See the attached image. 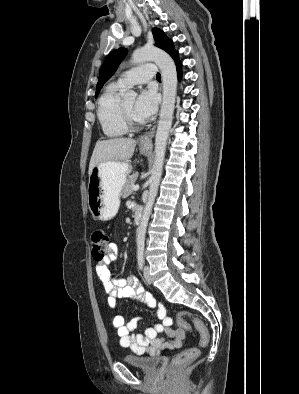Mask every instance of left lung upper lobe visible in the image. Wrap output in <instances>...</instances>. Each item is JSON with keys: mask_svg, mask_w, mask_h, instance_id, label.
<instances>
[{"mask_svg": "<svg viewBox=\"0 0 299 394\" xmlns=\"http://www.w3.org/2000/svg\"><path fill=\"white\" fill-rule=\"evenodd\" d=\"M153 37L155 39V45L164 51H166L170 56H172L176 50L173 46V42L169 39L165 33L158 29L153 28ZM127 54V50L125 48H119L117 50L112 51L107 58L105 59L104 63L101 66L100 73H99V80L96 86V94L95 97L99 94L100 89L104 85V83L114 74L117 70L119 64L124 59Z\"/></svg>", "mask_w": 299, "mask_h": 394, "instance_id": "1", "label": "left lung upper lobe"}]
</instances>
